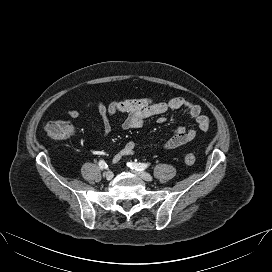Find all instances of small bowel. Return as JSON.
I'll return each mask as SVG.
<instances>
[{"label":"small bowel","mask_w":272,"mask_h":272,"mask_svg":"<svg viewBox=\"0 0 272 272\" xmlns=\"http://www.w3.org/2000/svg\"><path fill=\"white\" fill-rule=\"evenodd\" d=\"M86 107L95 108L103 122V136L107 137L111 133V119L116 114H126L122 123V128L138 129L142 127L146 119L159 116L158 122L163 123L166 118L165 114L170 110H183L187 112L195 121L194 128L177 127L172 136L163 144L165 150H173L182 145L192 142L199 132H204L209 128V118L202 114L198 104L187 99L175 97L167 101L156 102L149 97L128 99L123 101H112L109 104L102 102H87ZM69 117L78 119L80 111L71 109L68 111ZM136 145L133 141H128L123 148L113 157V162H118L126 156L135 154Z\"/></svg>","instance_id":"obj_1"}]
</instances>
